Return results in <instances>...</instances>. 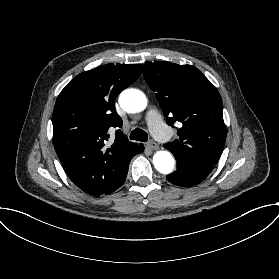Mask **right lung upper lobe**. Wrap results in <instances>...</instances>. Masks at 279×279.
<instances>
[{
	"instance_id": "cb5924a9",
	"label": "right lung upper lobe",
	"mask_w": 279,
	"mask_h": 279,
	"mask_svg": "<svg viewBox=\"0 0 279 279\" xmlns=\"http://www.w3.org/2000/svg\"><path fill=\"white\" fill-rule=\"evenodd\" d=\"M141 64H106L77 75L59 94L53 112L56 153L70 179L93 196L112 193L131 159L144 149L120 130L107 148L110 127H122L118 94L135 82Z\"/></svg>"
}]
</instances>
